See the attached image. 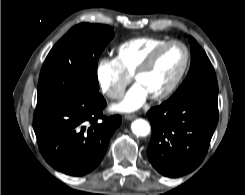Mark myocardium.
<instances>
[{
	"label": "myocardium",
	"mask_w": 245,
	"mask_h": 195,
	"mask_svg": "<svg viewBox=\"0 0 245 195\" xmlns=\"http://www.w3.org/2000/svg\"><path fill=\"white\" fill-rule=\"evenodd\" d=\"M180 46L183 49L184 52V60L182 63V66L179 70V72L177 73V75L175 76V78L172 80V82L160 93L155 94V95H151L150 99L153 101H161L164 100L166 98H168L179 86L181 80L183 79L186 70L188 68L189 65V51L186 47V45L180 41H167L161 45H159L158 47H156L155 49H153L147 56L146 58L138 65V67L135 69V71L132 74L133 79L136 81L137 78L142 75L143 73H145L155 62V60L157 59V57L167 48L171 47V46Z\"/></svg>",
	"instance_id": "obj_1"
}]
</instances>
